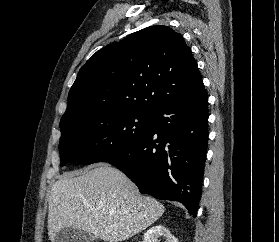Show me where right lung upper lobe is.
Wrapping results in <instances>:
<instances>
[{
    "instance_id": "cb5924a9",
    "label": "right lung upper lobe",
    "mask_w": 279,
    "mask_h": 242,
    "mask_svg": "<svg viewBox=\"0 0 279 242\" xmlns=\"http://www.w3.org/2000/svg\"><path fill=\"white\" fill-rule=\"evenodd\" d=\"M204 89L197 63L182 36L150 26L97 51L68 94L60 125L124 110L154 113Z\"/></svg>"
}]
</instances>
